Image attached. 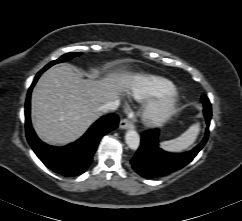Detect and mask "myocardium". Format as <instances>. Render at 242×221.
<instances>
[{"label": "myocardium", "mask_w": 242, "mask_h": 221, "mask_svg": "<svg viewBox=\"0 0 242 221\" xmlns=\"http://www.w3.org/2000/svg\"><path fill=\"white\" fill-rule=\"evenodd\" d=\"M177 104L178 96L174 91L163 94L145 106L141 120L148 127L160 126L174 113Z\"/></svg>", "instance_id": "1"}]
</instances>
